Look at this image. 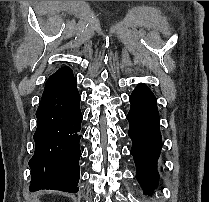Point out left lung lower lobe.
Returning <instances> with one entry per match:
<instances>
[{
    "mask_svg": "<svg viewBox=\"0 0 209 202\" xmlns=\"http://www.w3.org/2000/svg\"><path fill=\"white\" fill-rule=\"evenodd\" d=\"M128 135L132 140L131 154L136 164V178L145 194L157 188V160L162 148L157 100L152 91L139 84L129 97Z\"/></svg>",
    "mask_w": 209,
    "mask_h": 202,
    "instance_id": "1",
    "label": "left lung lower lobe"
}]
</instances>
